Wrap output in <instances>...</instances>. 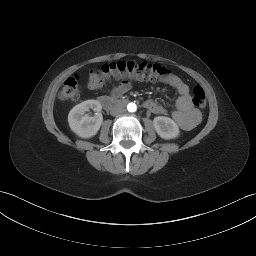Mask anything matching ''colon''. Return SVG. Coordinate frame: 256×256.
Here are the masks:
<instances>
[{
    "instance_id": "1",
    "label": "colon",
    "mask_w": 256,
    "mask_h": 256,
    "mask_svg": "<svg viewBox=\"0 0 256 256\" xmlns=\"http://www.w3.org/2000/svg\"><path fill=\"white\" fill-rule=\"evenodd\" d=\"M169 75L168 70L155 63L144 61H114L104 64L99 71H91L88 81L92 89H98L102 84L112 78H133L139 80H161ZM80 97V83L77 75L67 78L60 91V98L64 101H76ZM193 105L203 109L207 105V99L202 87L193 88Z\"/></svg>"
}]
</instances>
